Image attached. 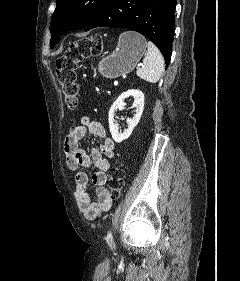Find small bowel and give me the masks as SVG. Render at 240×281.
I'll return each mask as SVG.
<instances>
[{
  "instance_id": "small-bowel-1",
  "label": "small bowel",
  "mask_w": 240,
  "mask_h": 281,
  "mask_svg": "<svg viewBox=\"0 0 240 281\" xmlns=\"http://www.w3.org/2000/svg\"><path fill=\"white\" fill-rule=\"evenodd\" d=\"M87 131L102 140L100 147L92 149L89 154L80 145ZM64 152L67 167L75 174L77 204L86 219L95 220L107 212L112 205V198L105 183L110 168L109 159L115 154V142L107 135L100 122L84 116L80 124L67 135ZM82 168L94 169L92 174L94 198L88 192L89 178Z\"/></svg>"
}]
</instances>
